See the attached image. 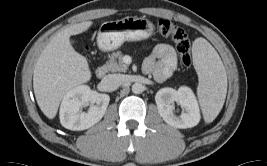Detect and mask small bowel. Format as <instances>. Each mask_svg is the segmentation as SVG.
Instances as JSON below:
<instances>
[{
  "instance_id": "c3829d8e",
  "label": "small bowel",
  "mask_w": 267,
  "mask_h": 166,
  "mask_svg": "<svg viewBox=\"0 0 267 166\" xmlns=\"http://www.w3.org/2000/svg\"><path fill=\"white\" fill-rule=\"evenodd\" d=\"M176 65L177 55L174 48L167 43H160L152 48L150 55L145 59L143 71L163 82L171 76Z\"/></svg>"
}]
</instances>
